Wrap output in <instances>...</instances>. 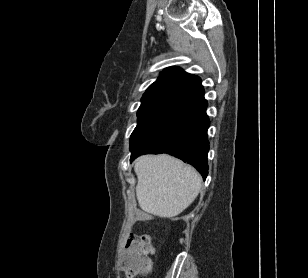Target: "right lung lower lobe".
Here are the masks:
<instances>
[{"instance_id": "98d812e1", "label": "right lung lower lobe", "mask_w": 308, "mask_h": 278, "mask_svg": "<svg viewBox=\"0 0 308 278\" xmlns=\"http://www.w3.org/2000/svg\"><path fill=\"white\" fill-rule=\"evenodd\" d=\"M206 108L207 101L203 100L176 116L161 131L131 150V161L142 154L168 153L194 165L205 179L208 175L207 129L210 124Z\"/></svg>"}]
</instances>
